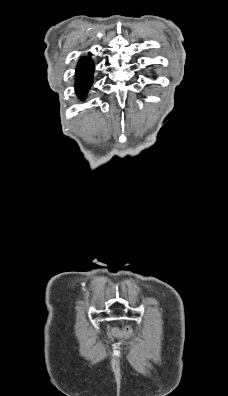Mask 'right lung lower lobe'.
I'll use <instances>...</instances> for the list:
<instances>
[{
    "instance_id": "obj_1",
    "label": "right lung lower lobe",
    "mask_w": 228,
    "mask_h": 396,
    "mask_svg": "<svg viewBox=\"0 0 228 396\" xmlns=\"http://www.w3.org/2000/svg\"><path fill=\"white\" fill-rule=\"evenodd\" d=\"M94 65L89 57H81L76 69L75 89L84 98L92 84Z\"/></svg>"
}]
</instances>
